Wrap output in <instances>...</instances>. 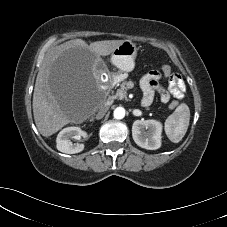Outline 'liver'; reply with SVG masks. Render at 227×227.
<instances>
[{"label":"liver","mask_w":227,"mask_h":227,"mask_svg":"<svg viewBox=\"0 0 227 227\" xmlns=\"http://www.w3.org/2000/svg\"><path fill=\"white\" fill-rule=\"evenodd\" d=\"M123 42L104 40L88 45L75 39L50 49L37 74L33 93L34 120L42 136H51L76 120L73 105L98 84L95 61L111 54Z\"/></svg>","instance_id":"6515ba94"}]
</instances>
